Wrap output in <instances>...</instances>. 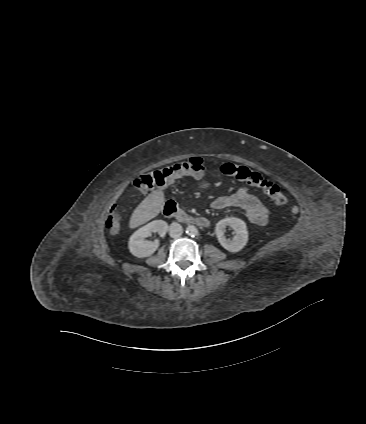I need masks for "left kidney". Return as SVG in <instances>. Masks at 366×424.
<instances>
[{"instance_id": "obj_1", "label": "left kidney", "mask_w": 366, "mask_h": 424, "mask_svg": "<svg viewBox=\"0 0 366 424\" xmlns=\"http://www.w3.org/2000/svg\"><path fill=\"white\" fill-rule=\"evenodd\" d=\"M226 226H230L235 231V236L232 240L226 239L224 236ZM215 232L221 246L230 252L240 251L248 242L246 224L239 218L230 217L220 220L216 224Z\"/></svg>"}]
</instances>
